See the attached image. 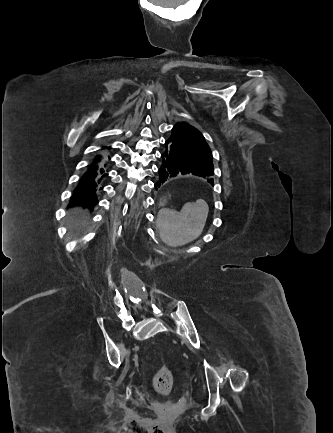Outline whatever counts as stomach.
Segmentation results:
<instances>
[{
    "label": "stomach",
    "mask_w": 333,
    "mask_h": 433,
    "mask_svg": "<svg viewBox=\"0 0 333 433\" xmlns=\"http://www.w3.org/2000/svg\"><path fill=\"white\" fill-rule=\"evenodd\" d=\"M160 207H163V204H160Z\"/></svg>",
    "instance_id": "0dacf381"
}]
</instances>
